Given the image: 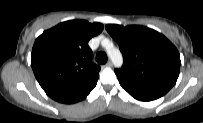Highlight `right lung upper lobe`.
<instances>
[{
    "label": "right lung upper lobe",
    "mask_w": 203,
    "mask_h": 123,
    "mask_svg": "<svg viewBox=\"0 0 203 123\" xmlns=\"http://www.w3.org/2000/svg\"><path fill=\"white\" fill-rule=\"evenodd\" d=\"M102 30L101 23L71 20L36 39L31 66L46 94L84 88L98 80L100 66L91 62L88 41Z\"/></svg>",
    "instance_id": "right-lung-upper-lobe-1"
}]
</instances>
